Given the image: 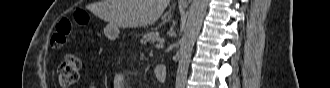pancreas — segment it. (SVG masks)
I'll return each mask as SVG.
<instances>
[{
  "label": "pancreas",
  "instance_id": "1",
  "mask_svg": "<svg viewBox=\"0 0 330 88\" xmlns=\"http://www.w3.org/2000/svg\"><path fill=\"white\" fill-rule=\"evenodd\" d=\"M160 40V36L159 33L157 31H151V32H147L143 35L142 39H141V43H154L155 41H159Z\"/></svg>",
  "mask_w": 330,
  "mask_h": 88
}]
</instances>
